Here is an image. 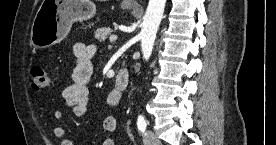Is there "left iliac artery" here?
I'll return each mask as SVG.
<instances>
[{
    "label": "left iliac artery",
    "mask_w": 276,
    "mask_h": 145,
    "mask_svg": "<svg viewBox=\"0 0 276 145\" xmlns=\"http://www.w3.org/2000/svg\"><path fill=\"white\" fill-rule=\"evenodd\" d=\"M137 127H138V130L142 133L145 132L146 130V127H147V121L146 119L142 116V115H139L138 116V119H137Z\"/></svg>",
    "instance_id": "1"
}]
</instances>
